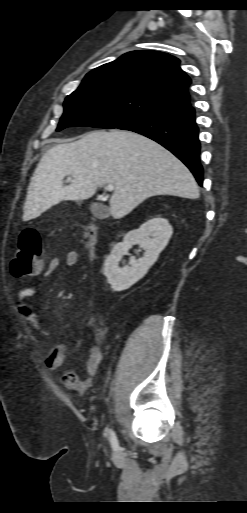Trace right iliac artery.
I'll list each match as a JSON object with an SVG mask.
<instances>
[{
    "label": "right iliac artery",
    "instance_id": "right-iliac-artery-1",
    "mask_svg": "<svg viewBox=\"0 0 247 513\" xmlns=\"http://www.w3.org/2000/svg\"><path fill=\"white\" fill-rule=\"evenodd\" d=\"M107 436H108V439L110 441V444H111L113 450H117L118 449V440H117V437H116L114 431L110 429L107 433Z\"/></svg>",
    "mask_w": 247,
    "mask_h": 513
}]
</instances>
